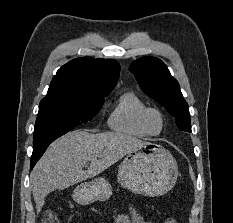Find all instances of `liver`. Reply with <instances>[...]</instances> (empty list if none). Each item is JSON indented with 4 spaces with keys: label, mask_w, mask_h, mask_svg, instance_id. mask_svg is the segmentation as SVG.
I'll use <instances>...</instances> for the list:
<instances>
[{
    "label": "liver",
    "mask_w": 233,
    "mask_h": 223,
    "mask_svg": "<svg viewBox=\"0 0 233 223\" xmlns=\"http://www.w3.org/2000/svg\"><path fill=\"white\" fill-rule=\"evenodd\" d=\"M144 141L125 133L69 131L56 139L30 173L36 211L40 213L47 193L99 175ZM90 161L88 169H83Z\"/></svg>",
    "instance_id": "obj_1"
}]
</instances>
